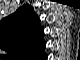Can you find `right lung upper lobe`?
<instances>
[{"instance_id":"1","label":"right lung upper lobe","mask_w":80,"mask_h":60,"mask_svg":"<svg viewBox=\"0 0 80 60\" xmlns=\"http://www.w3.org/2000/svg\"><path fill=\"white\" fill-rule=\"evenodd\" d=\"M0 26L3 49L9 54L24 57L23 60L45 45L39 18L29 5H23L15 13L3 19Z\"/></svg>"}]
</instances>
